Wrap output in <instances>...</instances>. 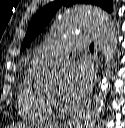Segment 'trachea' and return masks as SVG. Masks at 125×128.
<instances>
[{
    "instance_id": "3493384b",
    "label": "trachea",
    "mask_w": 125,
    "mask_h": 128,
    "mask_svg": "<svg viewBox=\"0 0 125 128\" xmlns=\"http://www.w3.org/2000/svg\"><path fill=\"white\" fill-rule=\"evenodd\" d=\"M89 49H90L91 51H94V44H93V43L90 44Z\"/></svg>"
}]
</instances>
